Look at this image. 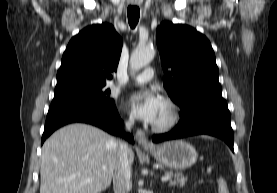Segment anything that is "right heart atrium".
<instances>
[{
    "instance_id": "1",
    "label": "right heart atrium",
    "mask_w": 277,
    "mask_h": 193,
    "mask_svg": "<svg viewBox=\"0 0 277 193\" xmlns=\"http://www.w3.org/2000/svg\"><path fill=\"white\" fill-rule=\"evenodd\" d=\"M127 121L132 122L133 121L132 117H129Z\"/></svg>"
}]
</instances>
